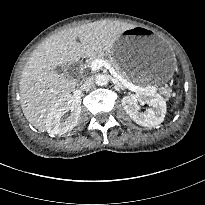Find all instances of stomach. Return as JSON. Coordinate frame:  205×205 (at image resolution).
<instances>
[{"label": "stomach", "instance_id": "0dacf381", "mask_svg": "<svg viewBox=\"0 0 205 205\" xmlns=\"http://www.w3.org/2000/svg\"><path fill=\"white\" fill-rule=\"evenodd\" d=\"M125 76L137 84H160L168 80L175 58L168 44L152 29H126L110 49Z\"/></svg>", "mask_w": 205, "mask_h": 205}]
</instances>
